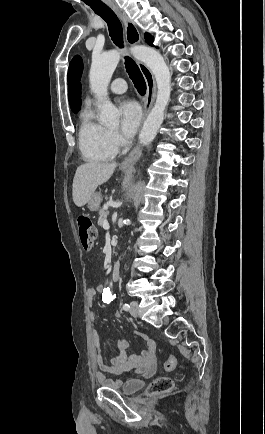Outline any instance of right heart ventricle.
Wrapping results in <instances>:
<instances>
[{
  "mask_svg": "<svg viewBox=\"0 0 265 434\" xmlns=\"http://www.w3.org/2000/svg\"><path fill=\"white\" fill-rule=\"evenodd\" d=\"M79 148L84 160L88 163L112 161L117 151H112L107 144V127L99 123L90 104L79 110Z\"/></svg>",
  "mask_w": 265,
  "mask_h": 434,
  "instance_id": "e07e8e85",
  "label": "right heart ventricle"
}]
</instances>
